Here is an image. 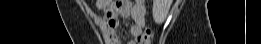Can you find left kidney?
<instances>
[{
  "label": "left kidney",
  "instance_id": "1",
  "mask_svg": "<svg viewBox=\"0 0 261 44\" xmlns=\"http://www.w3.org/2000/svg\"><path fill=\"white\" fill-rule=\"evenodd\" d=\"M171 6V0H153L152 15L157 24H161L166 19Z\"/></svg>",
  "mask_w": 261,
  "mask_h": 44
}]
</instances>
